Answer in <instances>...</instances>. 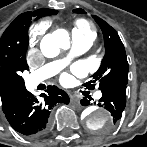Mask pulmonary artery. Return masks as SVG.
I'll return each instance as SVG.
<instances>
[{
	"mask_svg": "<svg viewBox=\"0 0 147 147\" xmlns=\"http://www.w3.org/2000/svg\"><path fill=\"white\" fill-rule=\"evenodd\" d=\"M91 45L92 41L85 38H79L73 35V47L70 56L86 52L91 47ZM67 61V59L55 61L35 71L29 76L27 80L28 87L33 88L42 81L53 76L59 71L61 67H63L67 63ZM101 96L102 93L100 91L95 93V98H100Z\"/></svg>",
	"mask_w": 147,
	"mask_h": 147,
	"instance_id": "pulmonary-artery-1",
	"label": "pulmonary artery"
}]
</instances>
